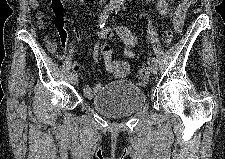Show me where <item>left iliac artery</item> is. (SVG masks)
Wrapping results in <instances>:
<instances>
[{
	"instance_id": "44dca946",
	"label": "left iliac artery",
	"mask_w": 225,
	"mask_h": 159,
	"mask_svg": "<svg viewBox=\"0 0 225 159\" xmlns=\"http://www.w3.org/2000/svg\"><path fill=\"white\" fill-rule=\"evenodd\" d=\"M120 7H115L113 10V14H117L119 11ZM152 63L157 64V59L155 57L152 58Z\"/></svg>"
}]
</instances>
